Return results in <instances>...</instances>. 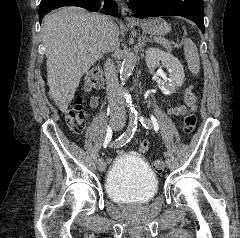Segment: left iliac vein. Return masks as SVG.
Here are the masks:
<instances>
[{"instance_id":"4c4485c4","label":"left iliac vein","mask_w":240,"mask_h":238,"mask_svg":"<svg viewBox=\"0 0 240 238\" xmlns=\"http://www.w3.org/2000/svg\"><path fill=\"white\" fill-rule=\"evenodd\" d=\"M165 162H166V166H167L168 168H170L171 165H172L171 160H170L169 158H166Z\"/></svg>"}]
</instances>
